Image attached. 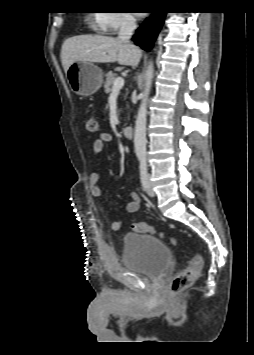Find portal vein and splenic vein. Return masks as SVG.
I'll list each match as a JSON object with an SVG mask.
<instances>
[{"mask_svg":"<svg viewBox=\"0 0 254 355\" xmlns=\"http://www.w3.org/2000/svg\"><path fill=\"white\" fill-rule=\"evenodd\" d=\"M123 86L124 79L122 77H118L113 83L112 91H119Z\"/></svg>","mask_w":254,"mask_h":355,"instance_id":"1","label":"portal vein and splenic vein"}]
</instances>
